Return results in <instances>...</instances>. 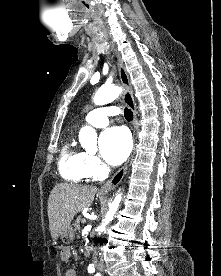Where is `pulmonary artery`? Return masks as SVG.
<instances>
[{
    "mask_svg": "<svg viewBox=\"0 0 221 276\" xmlns=\"http://www.w3.org/2000/svg\"><path fill=\"white\" fill-rule=\"evenodd\" d=\"M118 114L115 107H99L90 111L85 117V123L102 128L108 125L109 117Z\"/></svg>",
    "mask_w": 221,
    "mask_h": 276,
    "instance_id": "1",
    "label": "pulmonary artery"
}]
</instances>
